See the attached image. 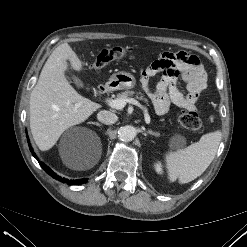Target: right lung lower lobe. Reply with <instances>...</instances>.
<instances>
[{
    "label": "right lung lower lobe",
    "instance_id": "right-lung-lower-lobe-1",
    "mask_svg": "<svg viewBox=\"0 0 247 247\" xmlns=\"http://www.w3.org/2000/svg\"><path fill=\"white\" fill-rule=\"evenodd\" d=\"M28 145H29V148H30V151L32 152V155L36 157V154L33 152V149L31 147V145L29 144V140H28ZM40 166L45 170L46 173H48L50 176H52L53 178L63 182V183H68L69 185H73V184H83L85 182H87V178H83V179H79V180H68V179H65V178H62L61 176H58L55 172H53L48 166H46L43 162H40L38 160Z\"/></svg>",
    "mask_w": 247,
    "mask_h": 247
}]
</instances>
